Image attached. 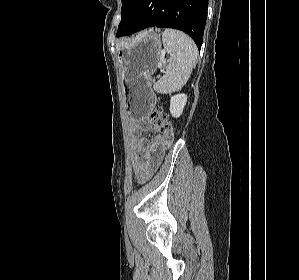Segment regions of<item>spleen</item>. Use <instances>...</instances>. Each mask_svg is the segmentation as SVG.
<instances>
[{
    "mask_svg": "<svg viewBox=\"0 0 299 280\" xmlns=\"http://www.w3.org/2000/svg\"><path fill=\"white\" fill-rule=\"evenodd\" d=\"M162 41L170 58L163 77L153 88L157 93L167 94L178 91L186 84L196 65L198 49L190 37L174 29H165Z\"/></svg>",
    "mask_w": 299,
    "mask_h": 280,
    "instance_id": "obj_1",
    "label": "spleen"
}]
</instances>
